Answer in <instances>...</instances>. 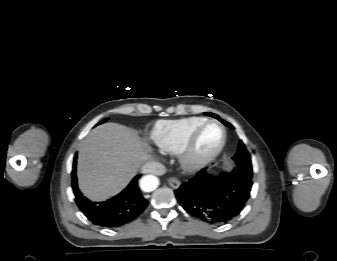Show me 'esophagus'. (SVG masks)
I'll list each match as a JSON object with an SVG mask.
<instances>
[{
    "label": "esophagus",
    "mask_w": 337,
    "mask_h": 261,
    "mask_svg": "<svg viewBox=\"0 0 337 261\" xmlns=\"http://www.w3.org/2000/svg\"><path fill=\"white\" fill-rule=\"evenodd\" d=\"M168 183H169V185L172 187V188H174V189H177V188H179V186H180V181L177 179V178H175V177H170L169 179H168Z\"/></svg>",
    "instance_id": "1"
}]
</instances>
